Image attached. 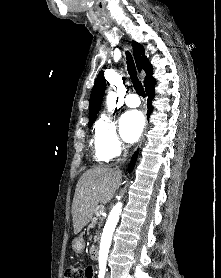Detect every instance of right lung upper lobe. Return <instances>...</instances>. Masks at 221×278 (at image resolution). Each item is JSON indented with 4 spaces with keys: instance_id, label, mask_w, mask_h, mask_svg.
I'll list each match as a JSON object with an SVG mask.
<instances>
[{
    "instance_id": "cb5924a9",
    "label": "right lung upper lobe",
    "mask_w": 221,
    "mask_h": 278,
    "mask_svg": "<svg viewBox=\"0 0 221 278\" xmlns=\"http://www.w3.org/2000/svg\"><path fill=\"white\" fill-rule=\"evenodd\" d=\"M133 54L135 58V62L139 71L144 69L146 72V79L144 85L146 86L150 81L154 78L152 77L153 67L149 63L147 57L144 53V48L139 43L133 41ZM106 89V80L104 78L103 71H101L95 81L94 87L92 89L89 101V124H93L97 113L100 110L102 98L104 95V91Z\"/></svg>"
}]
</instances>
